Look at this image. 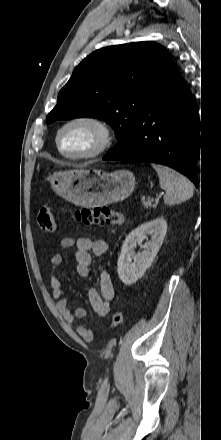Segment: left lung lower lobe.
I'll return each instance as SVG.
<instances>
[{
  "label": "left lung lower lobe",
  "instance_id": "0a47b994",
  "mask_svg": "<svg viewBox=\"0 0 221 440\" xmlns=\"http://www.w3.org/2000/svg\"><path fill=\"white\" fill-rule=\"evenodd\" d=\"M198 107L186 82L176 73L142 112L121 153L103 160L154 162L187 176L197 186L196 152L200 150Z\"/></svg>",
  "mask_w": 221,
  "mask_h": 440
}]
</instances>
